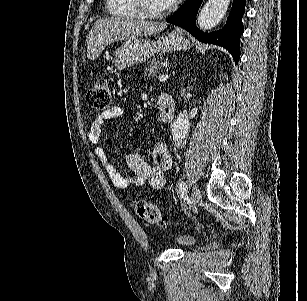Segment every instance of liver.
<instances>
[{"mask_svg":"<svg viewBox=\"0 0 307 301\" xmlns=\"http://www.w3.org/2000/svg\"><path fill=\"white\" fill-rule=\"evenodd\" d=\"M166 22L155 20H139V18H121V16H109L99 18L94 22L87 38V58H97L105 46L116 40H128L147 34H157L166 28Z\"/></svg>","mask_w":307,"mask_h":301,"instance_id":"obj_1","label":"liver"}]
</instances>
